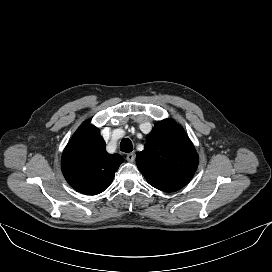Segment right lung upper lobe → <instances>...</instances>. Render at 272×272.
Returning a JSON list of instances; mask_svg holds the SVG:
<instances>
[{"mask_svg": "<svg viewBox=\"0 0 272 272\" xmlns=\"http://www.w3.org/2000/svg\"><path fill=\"white\" fill-rule=\"evenodd\" d=\"M122 162L120 155L105 151L99 129L85 123L63 151L61 167L65 179L75 190L96 195L110 186Z\"/></svg>", "mask_w": 272, "mask_h": 272, "instance_id": "cb5924a9", "label": "right lung upper lobe"}]
</instances>
